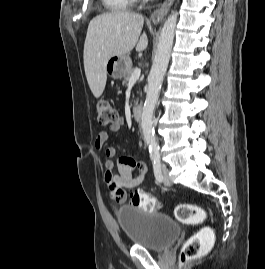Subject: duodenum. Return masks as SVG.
<instances>
[{
  "instance_id": "duodenum-1",
  "label": "duodenum",
  "mask_w": 265,
  "mask_h": 269,
  "mask_svg": "<svg viewBox=\"0 0 265 269\" xmlns=\"http://www.w3.org/2000/svg\"><path fill=\"white\" fill-rule=\"evenodd\" d=\"M143 116V107L141 105H138L135 107V109L133 110V118L136 121H141Z\"/></svg>"
}]
</instances>
